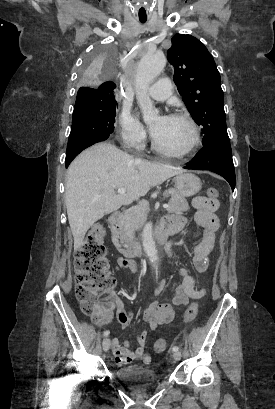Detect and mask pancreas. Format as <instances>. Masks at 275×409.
Here are the masks:
<instances>
[{
    "label": "pancreas",
    "instance_id": "1",
    "mask_svg": "<svg viewBox=\"0 0 275 409\" xmlns=\"http://www.w3.org/2000/svg\"><path fill=\"white\" fill-rule=\"evenodd\" d=\"M169 194H171V198L168 202V213H181V211H189L188 202L183 194L177 192L175 188H168V190H164L163 196H169ZM147 213L148 209L146 205H137V207H134L132 211H127L126 215H124L122 221L119 223L120 229H123L128 237H133L134 231H137V229H140V227L144 225L147 219Z\"/></svg>",
    "mask_w": 275,
    "mask_h": 409
}]
</instances>
